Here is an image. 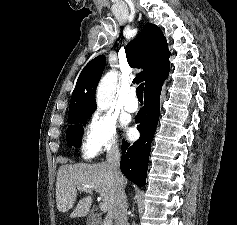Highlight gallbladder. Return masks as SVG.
<instances>
[{
	"label": "gallbladder",
	"mask_w": 237,
	"mask_h": 225,
	"mask_svg": "<svg viewBox=\"0 0 237 225\" xmlns=\"http://www.w3.org/2000/svg\"><path fill=\"white\" fill-rule=\"evenodd\" d=\"M101 219L98 216L89 217L87 225H100Z\"/></svg>",
	"instance_id": "gallbladder-1"
}]
</instances>
